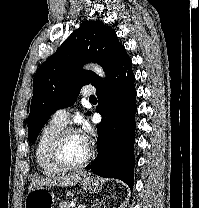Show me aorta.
Masks as SVG:
<instances>
[{"mask_svg": "<svg viewBox=\"0 0 199 208\" xmlns=\"http://www.w3.org/2000/svg\"><path fill=\"white\" fill-rule=\"evenodd\" d=\"M89 68L95 71L99 76L104 77V72L98 65H90Z\"/></svg>", "mask_w": 199, "mask_h": 208, "instance_id": "obj_1", "label": "aorta"}]
</instances>
